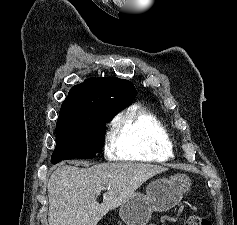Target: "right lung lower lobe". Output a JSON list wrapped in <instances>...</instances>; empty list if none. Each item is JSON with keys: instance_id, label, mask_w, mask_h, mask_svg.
<instances>
[{"instance_id": "1", "label": "right lung lower lobe", "mask_w": 237, "mask_h": 225, "mask_svg": "<svg viewBox=\"0 0 237 225\" xmlns=\"http://www.w3.org/2000/svg\"><path fill=\"white\" fill-rule=\"evenodd\" d=\"M53 164H56V163H58V162H60V161H51Z\"/></svg>"}]
</instances>
